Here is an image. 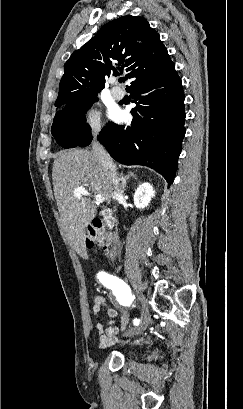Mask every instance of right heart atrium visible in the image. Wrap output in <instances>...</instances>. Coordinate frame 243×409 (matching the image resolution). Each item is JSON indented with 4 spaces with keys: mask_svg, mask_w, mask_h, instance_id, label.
Returning <instances> with one entry per match:
<instances>
[{
    "mask_svg": "<svg viewBox=\"0 0 243 409\" xmlns=\"http://www.w3.org/2000/svg\"><path fill=\"white\" fill-rule=\"evenodd\" d=\"M75 124L77 126H85L93 135H98L103 129L100 112L94 106L78 108L76 110Z\"/></svg>",
    "mask_w": 243,
    "mask_h": 409,
    "instance_id": "right-heart-atrium-1",
    "label": "right heart atrium"
}]
</instances>
